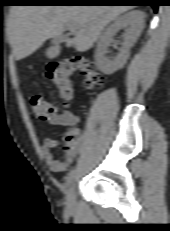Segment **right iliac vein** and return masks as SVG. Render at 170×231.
<instances>
[{
    "label": "right iliac vein",
    "instance_id": "obj_1",
    "mask_svg": "<svg viewBox=\"0 0 170 231\" xmlns=\"http://www.w3.org/2000/svg\"><path fill=\"white\" fill-rule=\"evenodd\" d=\"M75 209V191L74 186L72 185L66 196V211L72 212Z\"/></svg>",
    "mask_w": 170,
    "mask_h": 231
}]
</instances>
